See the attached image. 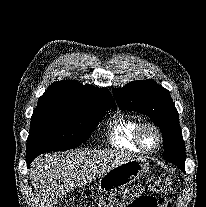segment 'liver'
Masks as SVG:
<instances>
[{
	"instance_id": "1",
	"label": "liver",
	"mask_w": 206,
	"mask_h": 207,
	"mask_svg": "<svg viewBox=\"0 0 206 207\" xmlns=\"http://www.w3.org/2000/svg\"><path fill=\"white\" fill-rule=\"evenodd\" d=\"M134 158L107 150H74L37 157L30 167V180L37 194L38 207H55L65 194Z\"/></svg>"
}]
</instances>
